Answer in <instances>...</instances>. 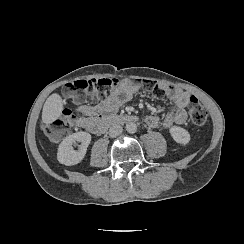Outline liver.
<instances>
[{"label":"liver","instance_id":"obj_1","mask_svg":"<svg viewBox=\"0 0 244 244\" xmlns=\"http://www.w3.org/2000/svg\"><path fill=\"white\" fill-rule=\"evenodd\" d=\"M63 100L57 93L51 94L44 103L42 110V121L45 124H50L57 120L62 114Z\"/></svg>","mask_w":244,"mask_h":244}]
</instances>
